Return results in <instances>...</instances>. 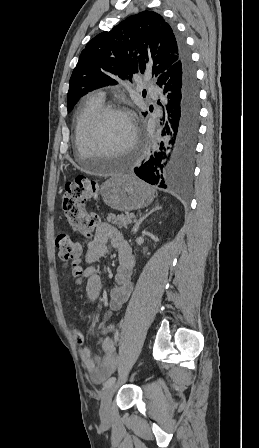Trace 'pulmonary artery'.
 Instances as JSON below:
<instances>
[{
    "label": "pulmonary artery",
    "instance_id": "1",
    "mask_svg": "<svg viewBox=\"0 0 259 448\" xmlns=\"http://www.w3.org/2000/svg\"><path fill=\"white\" fill-rule=\"evenodd\" d=\"M95 94H96V96H97L98 98H100V99H102V100H104V98H105V96H106V94H105V92H104L103 89H98V90H96Z\"/></svg>",
    "mask_w": 259,
    "mask_h": 448
}]
</instances>
